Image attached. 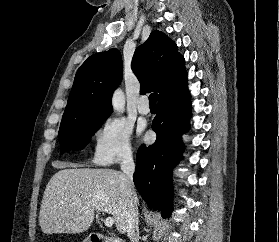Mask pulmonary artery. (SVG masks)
<instances>
[{
	"label": "pulmonary artery",
	"mask_w": 279,
	"mask_h": 242,
	"mask_svg": "<svg viewBox=\"0 0 279 242\" xmlns=\"http://www.w3.org/2000/svg\"><path fill=\"white\" fill-rule=\"evenodd\" d=\"M137 109L138 112L142 115H147L150 112V108L149 105L147 104V100L145 96L139 98Z\"/></svg>",
	"instance_id": "e3ab8cb5"
}]
</instances>
